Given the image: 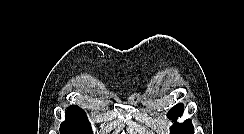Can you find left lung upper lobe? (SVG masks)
Masks as SVG:
<instances>
[{"instance_id":"left-lung-upper-lobe-1","label":"left lung upper lobe","mask_w":244,"mask_h":134,"mask_svg":"<svg viewBox=\"0 0 244 134\" xmlns=\"http://www.w3.org/2000/svg\"><path fill=\"white\" fill-rule=\"evenodd\" d=\"M184 111L183 104H177L173 108L169 110L167 113V117L171 119L172 121H176L178 117L182 115ZM171 132L170 134H193V125L191 120H186L182 124L174 123L173 126L170 128Z\"/></svg>"}]
</instances>
